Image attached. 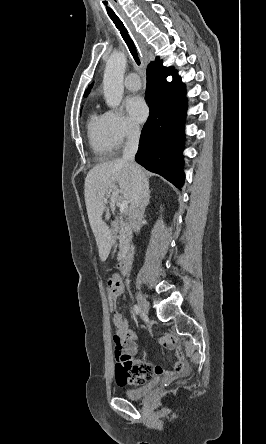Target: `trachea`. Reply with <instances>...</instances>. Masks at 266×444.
I'll return each mask as SVG.
<instances>
[{
    "mask_svg": "<svg viewBox=\"0 0 266 444\" xmlns=\"http://www.w3.org/2000/svg\"><path fill=\"white\" fill-rule=\"evenodd\" d=\"M106 10H107L109 17L111 18V20L115 24L116 28L120 31V34H121L123 40L125 41V43L127 44L129 51H130L131 55L133 56V59L135 60L136 64L140 65L138 50H137L132 38L130 37L127 28L124 26L123 22L114 13V11L112 9L107 7Z\"/></svg>",
    "mask_w": 266,
    "mask_h": 444,
    "instance_id": "trachea-1",
    "label": "trachea"
}]
</instances>
